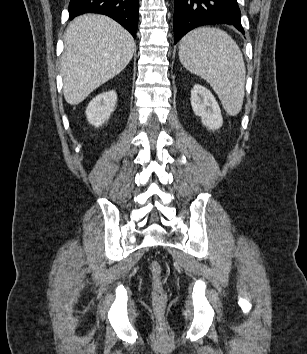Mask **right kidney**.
<instances>
[{"label": "right kidney", "mask_w": 307, "mask_h": 354, "mask_svg": "<svg viewBox=\"0 0 307 354\" xmlns=\"http://www.w3.org/2000/svg\"><path fill=\"white\" fill-rule=\"evenodd\" d=\"M117 103V94L114 90L97 95L88 104L86 109L87 120L95 127L108 121Z\"/></svg>", "instance_id": "right-kidney-1"}]
</instances>
